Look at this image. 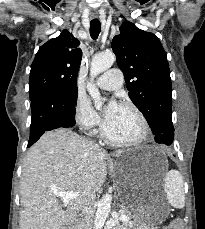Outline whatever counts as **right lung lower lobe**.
<instances>
[{
  "label": "right lung lower lobe",
  "mask_w": 205,
  "mask_h": 229,
  "mask_svg": "<svg viewBox=\"0 0 205 229\" xmlns=\"http://www.w3.org/2000/svg\"><path fill=\"white\" fill-rule=\"evenodd\" d=\"M31 100L32 120L28 146L33 145L45 131L75 124L77 98L64 90L41 93Z\"/></svg>",
  "instance_id": "obj_1"
}]
</instances>
